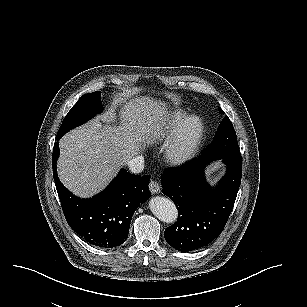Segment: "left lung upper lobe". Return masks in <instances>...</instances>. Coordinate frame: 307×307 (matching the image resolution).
Wrapping results in <instances>:
<instances>
[{"instance_id":"obj_1","label":"left lung upper lobe","mask_w":307,"mask_h":307,"mask_svg":"<svg viewBox=\"0 0 307 307\" xmlns=\"http://www.w3.org/2000/svg\"><path fill=\"white\" fill-rule=\"evenodd\" d=\"M202 157L241 159L236 132L228 116L221 121L212 144L204 151Z\"/></svg>"}]
</instances>
